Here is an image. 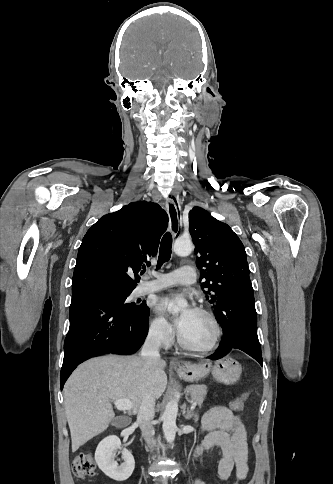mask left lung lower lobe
Listing matches in <instances>:
<instances>
[{
	"instance_id": "obj_1",
	"label": "left lung lower lobe",
	"mask_w": 333,
	"mask_h": 484,
	"mask_svg": "<svg viewBox=\"0 0 333 484\" xmlns=\"http://www.w3.org/2000/svg\"><path fill=\"white\" fill-rule=\"evenodd\" d=\"M234 302L238 304L234 306ZM214 313L223 328V337L220 346L208 358L218 360L232 349H240L262 365L257 313L249 276L234 280L224 287Z\"/></svg>"
}]
</instances>
